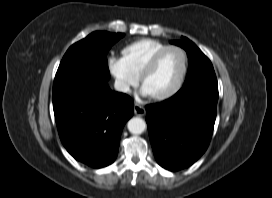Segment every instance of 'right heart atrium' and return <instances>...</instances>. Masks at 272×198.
Returning a JSON list of instances; mask_svg holds the SVG:
<instances>
[{
  "label": "right heart atrium",
  "mask_w": 272,
  "mask_h": 198,
  "mask_svg": "<svg viewBox=\"0 0 272 198\" xmlns=\"http://www.w3.org/2000/svg\"><path fill=\"white\" fill-rule=\"evenodd\" d=\"M107 67L115 80L118 90L125 94L130 93L138 82V76L130 70L124 59L110 56L107 59Z\"/></svg>",
  "instance_id": "obj_1"
}]
</instances>
